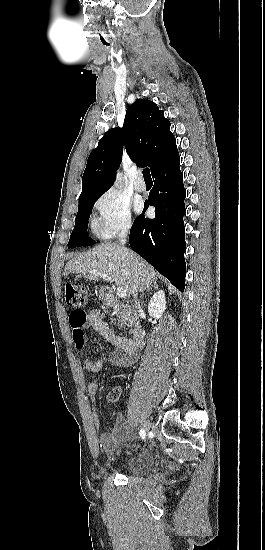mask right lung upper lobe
Returning <instances> with one entry per match:
<instances>
[{
  "instance_id": "1",
  "label": "right lung upper lobe",
  "mask_w": 265,
  "mask_h": 550,
  "mask_svg": "<svg viewBox=\"0 0 265 550\" xmlns=\"http://www.w3.org/2000/svg\"><path fill=\"white\" fill-rule=\"evenodd\" d=\"M123 144L132 161L151 173L177 150L170 122L152 101L137 99L126 111L123 128L110 129L91 152L82 177L79 199L100 197L115 180Z\"/></svg>"
}]
</instances>
